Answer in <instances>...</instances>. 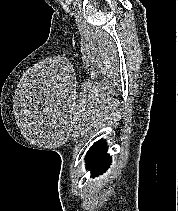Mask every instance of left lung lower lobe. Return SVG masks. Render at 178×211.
Masks as SVG:
<instances>
[{"mask_svg":"<svg viewBox=\"0 0 178 211\" xmlns=\"http://www.w3.org/2000/svg\"><path fill=\"white\" fill-rule=\"evenodd\" d=\"M86 168L91 170L92 177L101 175L111 163V157L107 154L106 142L100 140L94 143L89 149L86 157Z\"/></svg>","mask_w":178,"mask_h":211,"instance_id":"left-lung-lower-lobe-1","label":"left lung lower lobe"}]
</instances>
